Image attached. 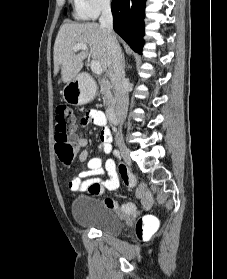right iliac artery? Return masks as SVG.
I'll return each instance as SVG.
<instances>
[{"label": "right iliac artery", "mask_w": 227, "mask_h": 279, "mask_svg": "<svg viewBox=\"0 0 227 279\" xmlns=\"http://www.w3.org/2000/svg\"><path fill=\"white\" fill-rule=\"evenodd\" d=\"M113 153H114V155H115L117 158L121 159L122 155H121V153L119 152V150L115 149V150L113 151Z\"/></svg>", "instance_id": "82829eb1"}]
</instances>
